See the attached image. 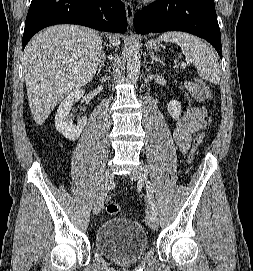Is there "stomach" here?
<instances>
[{"mask_svg":"<svg viewBox=\"0 0 253 271\" xmlns=\"http://www.w3.org/2000/svg\"><path fill=\"white\" fill-rule=\"evenodd\" d=\"M148 47L150 49H157L159 47V42H157L155 40H150V41H148Z\"/></svg>","mask_w":253,"mask_h":271,"instance_id":"1","label":"stomach"}]
</instances>
